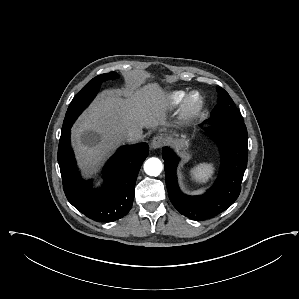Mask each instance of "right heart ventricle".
Listing matches in <instances>:
<instances>
[{"label": "right heart ventricle", "instance_id": "right-heart-ventricle-1", "mask_svg": "<svg viewBox=\"0 0 299 299\" xmlns=\"http://www.w3.org/2000/svg\"><path fill=\"white\" fill-rule=\"evenodd\" d=\"M185 98L184 91H174L169 94V101L171 104H178Z\"/></svg>", "mask_w": 299, "mask_h": 299}]
</instances>
